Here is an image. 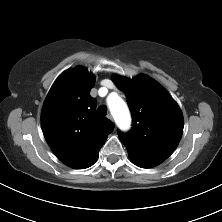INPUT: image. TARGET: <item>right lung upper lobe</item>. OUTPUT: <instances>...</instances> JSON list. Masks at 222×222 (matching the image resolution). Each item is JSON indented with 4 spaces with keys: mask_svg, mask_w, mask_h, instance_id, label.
Wrapping results in <instances>:
<instances>
[{
    "mask_svg": "<svg viewBox=\"0 0 222 222\" xmlns=\"http://www.w3.org/2000/svg\"><path fill=\"white\" fill-rule=\"evenodd\" d=\"M95 77L78 66L63 72L51 87L41 113L45 139L56 157L75 169L92 166L114 124L97 115L90 91Z\"/></svg>",
    "mask_w": 222,
    "mask_h": 222,
    "instance_id": "right-lung-upper-lobe-1",
    "label": "right lung upper lobe"
}]
</instances>
